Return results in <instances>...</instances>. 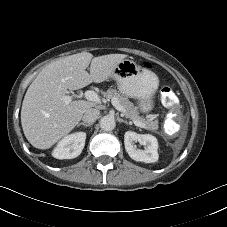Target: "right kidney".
<instances>
[{"label":"right kidney","mask_w":227,"mask_h":227,"mask_svg":"<svg viewBox=\"0 0 227 227\" xmlns=\"http://www.w3.org/2000/svg\"><path fill=\"white\" fill-rule=\"evenodd\" d=\"M86 133L75 132L62 138L52 152L57 159H72L79 156L85 146Z\"/></svg>","instance_id":"obj_1"}]
</instances>
